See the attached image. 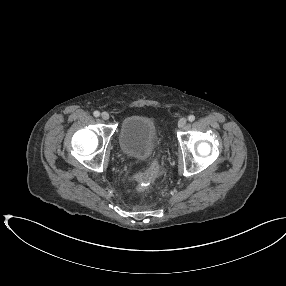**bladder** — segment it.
Here are the masks:
<instances>
[{"instance_id":"31cf9c89","label":"bladder","mask_w":286,"mask_h":286,"mask_svg":"<svg viewBox=\"0 0 286 286\" xmlns=\"http://www.w3.org/2000/svg\"><path fill=\"white\" fill-rule=\"evenodd\" d=\"M157 142L156 126L150 117L133 115L122 121L118 143L123 156L145 160L155 151Z\"/></svg>"}]
</instances>
